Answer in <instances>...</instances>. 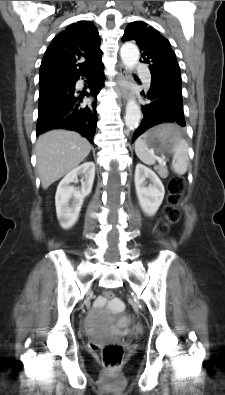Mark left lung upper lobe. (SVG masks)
Listing matches in <instances>:
<instances>
[{"label": "left lung upper lobe", "mask_w": 225, "mask_h": 395, "mask_svg": "<svg viewBox=\"0 0 225 395\" xmlns=\"http://www.w3.org/2000/svg\"><path fill=\"white\" fill-rule=\"evenodd\" d=\"M130 40H135L141 49L142 62L149 65L153 78L182 82L180 67L170 42L156 29L142 21L132 22L122 37L123 42Z\"/></svg>", "instance_id": "5c2ea615"}]
</instances>
